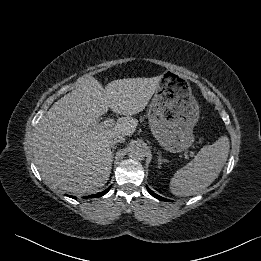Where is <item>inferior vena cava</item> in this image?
Wrapping results in <instances>:
<instances>
[{"label": "inferior vena cava", "mask_w": 261, "mask_h": 261, "mask_svg": "<svg viewBox=\"0 0 261 261\" xmlns=\"http://www.w3.org/2000/svg\"><path fill=\"white\" fill-rule=\"evenodd\" d=\"M125 141V137L121 134H114L111 136L110 144L111 146H114L117 143H122Z\"/></svg>", "instance_id": "inferior-vena-cava-1"}]
</instances>
